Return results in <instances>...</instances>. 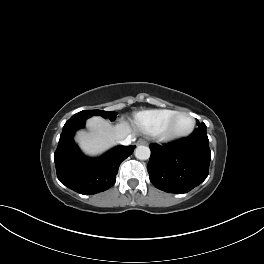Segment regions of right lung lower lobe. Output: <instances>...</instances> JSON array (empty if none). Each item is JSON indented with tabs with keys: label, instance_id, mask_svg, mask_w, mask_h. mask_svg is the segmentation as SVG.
I'll list each match as a JSON object with an SVG mask.
<instances>
[{
	"label": "right lung lower lobe",
	"instance_id": "obj_1",
	"mask_svg": "<svg viewBox=\"0 0 264 264\" xmlns=\"http://www.w3.org/2000/svg\"><path fill=\"white\" fill-rule=\"evenodd\" d=\"M88 118L72 116L64 125L54 154L57 177L68 188L84 195L103 192L115 184L118 168L136 146H117L103 156H84L73 141Z\"/></svg>",
	"mask_w": 264,
	"mask_h": 264
}]
</instances>
